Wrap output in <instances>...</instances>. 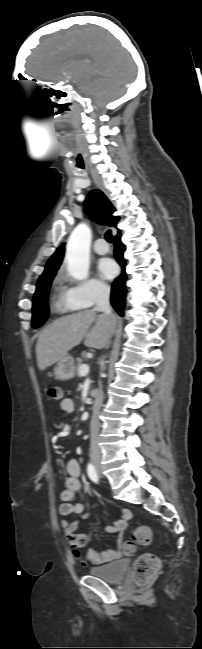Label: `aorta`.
<instances>
[{"label":"aorta","mask_w":202,"mask_h":649,"mask_svg":"<svg viewBox=\"0 0 202 649\" xmlns=\"http://www.w3.org/2000/svg\"><path fill=\"white\" fill-rule=\"evenodd\" d=\"M90 243L91 230L84 223L79 224L71 233L66 250L67 270L77 280L88 277Z\"/></svg>","instance_id":"aorta-1"}]
</instances>
